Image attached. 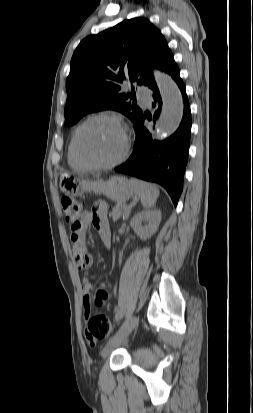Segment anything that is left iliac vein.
<instances>
[{
	"label": "left iliac vein",
	"mask_w": 253,
	"mask_h": 413,
	"mask_svg": "<svg viewBox=\"0 0 253 413\" xmlns=\"http://www.w3.org/2000/svg\"><path fill=\"white\" fill-rule=\"evenodd\" d=\"M139 318L137 316H133L127 319L120 329L116 332V334L109 340V342L105 345L101 352V356L103 358L108 357L111 352L119 347L125 339L129 336V334L133 331V329L137 326Z\"/></svg>",
	"instance_id": "1"
}]
</instances>
